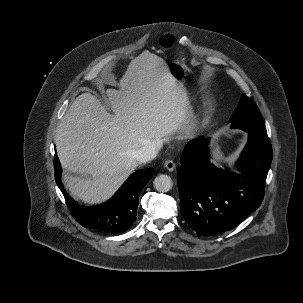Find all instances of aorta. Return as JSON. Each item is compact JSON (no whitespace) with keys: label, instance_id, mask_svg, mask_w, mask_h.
I'll list each match as a JSON object with an SVG mask.
<instances>
[{"label":"aorta","instance_id":"aorta-1","mask_svg":"<svg viewBox=\"0 0 303 303\" xmlns=\"http://www.w3.org/2000/svg\"><path fill=\"white\" fill-rule=\"evenodd\" d=\"M154 187L158 192H168L172 188V180L166 174L158 175L154 179Z\"/></svg>","mask_w":303,"mask_h":303}]
</instances>
